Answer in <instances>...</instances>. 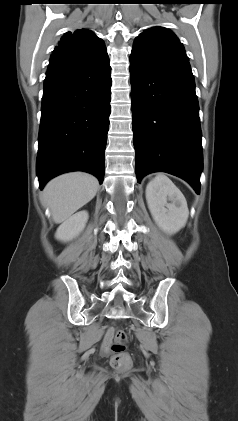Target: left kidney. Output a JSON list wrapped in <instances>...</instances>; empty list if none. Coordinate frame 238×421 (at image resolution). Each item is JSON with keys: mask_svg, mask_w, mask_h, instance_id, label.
I'll list each match as a JSON object with an SVG mask.
<instances>
[{"mask_svg": "<svg viewBox=\"0 0 238 421\" xmlns=\"http://www.w3.org/2000/svg\"><path fill=\"white\" fill-rule=\"evenodd\" d=\"M146 200L156 224L172 235L183 228L189 211L182 192L164 175H158L147 184Z\"/></svg>", "mask_w": 238, "mask_h": 421, "instance_id": "5707ae66", "label": "left kidney"}]
</instances>
